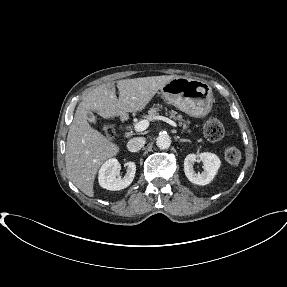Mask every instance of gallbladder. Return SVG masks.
Listing matches in <instances>:
<instances>
[{"mask_svg": "<svg viewBox=\"0 0 287 287\" xmlns=\"http://www.w3.org/2000/svg\"><path fill=\"white\" fill-rule=\"evenodd\" d=\"M86 116H87V120H88L89 122L94 123V124L96 123V118H95V116L93 115L92 112L88 111V112L86 113Z\"/></svg>", "mask_w": 287, "mask_h": 287, "instance_id": "obj_1", "label": "gallbladder"}]
</instances>
